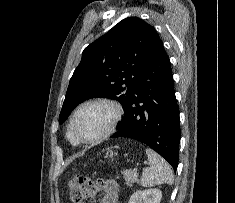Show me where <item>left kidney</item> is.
Here are the masks:
<instances>
[{
  "instance_id": "1",
  "label": "left kidney",
  "mask_w": 235,
  "mask_h": 203,
  "mask_svg": "<svg viewBox=\"0 0 235 203\" xmlns=\"http://www.w3.org/2000/svg\"><path fill=\"white\" fill-rule=\"evenodd\" d=\"M162 192L159 189L136 191L128 203H160Z\"/></svg>"
}]
</instances>
